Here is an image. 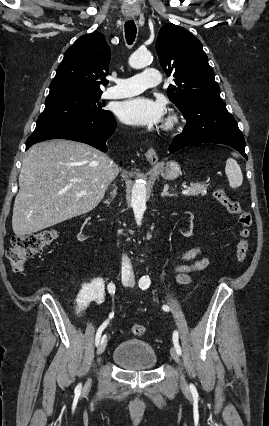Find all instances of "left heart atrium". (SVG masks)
<instances>
[{"instance_id":"left-heart-atrium-1","label":"left heart atrium","mask_w":269,"mask_h":426,"mask_svg":"<svg viewBox=\"0 0 269 426\" xmlns=\"http://www.w3.org/2000/svg\"><path fill=\"white\" fill-rule=\"evenodd\" d=\"M164 105L147 97H136L118 104V118L129 125L152 127L159 124L164 117Z\"/></svg>"}]
</instances>
